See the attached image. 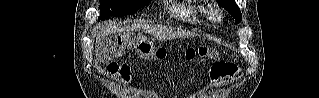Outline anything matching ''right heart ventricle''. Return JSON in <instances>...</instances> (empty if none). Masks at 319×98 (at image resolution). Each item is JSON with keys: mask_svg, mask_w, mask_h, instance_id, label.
Returning a JSON list of instances; mask_svg holds the SVG:
<instances>
[{"mask_svg": "<svg viewBox=\"0 0 319 98\" xmlns=\"http://www.w3.org/2000/svg\"><path fill=\"white\" fill-rule=\"evenodd\" d=\"M171 13L185 23L200 25L203 23L204 7L193 1H185L182 4L173 6Z\"/></svg>", "mask_w": 319, "mask_h": 98, "instance_id": "e07e8e85", "label": "right heart ventricle"}]
</instances>
